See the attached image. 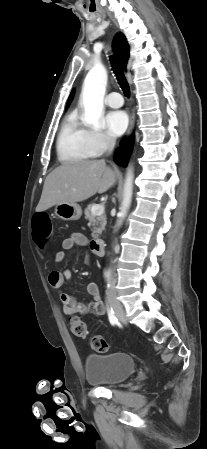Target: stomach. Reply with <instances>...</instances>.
<instances>
[{
    "mask_svg": "<svg viewBox=\"0 0 207 449\" xmlns=\"http://www.w3.org/2000/svg\"><path fill=\"white\" fill-rule=\"evenodd\" d=\"M55 215L62 220H79L82 209L77 203H61L55 207Z\"/></svg>",
    "mask_w": 207,
    "mask_h": 449,
    "instance_id": "obj_1",
    "label": "stomach"
}]
</instances>
